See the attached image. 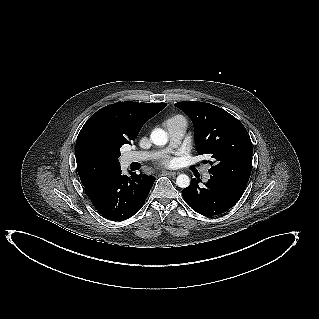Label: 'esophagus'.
<instances>
[{
    "label": "esophagus",
    "mask_w": 319,
    "mask_h": 319,
    "mask_svg": "<svg viewBox=\"0 0 319 319\" xmlns=\"http://www.w3.org/2000/svg\"><path fill=\"white\" fill-rule=\"evenodd\" d=\"M163 173L169 176H176L179 174V172H175V171H164Z\"/></svg>",
    "instance_id": "esophagus-1"
}]
</instances>
